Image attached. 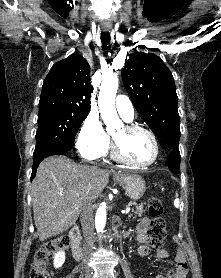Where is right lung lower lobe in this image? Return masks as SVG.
<instances>
[{"label": "right lung lower lobe", "instance_id": "right-lung-lower-lobe-1", "mask_svg": "<svg viewBox=\"0 0 221 278\" xmlns=\"http://www.w3.org/2000/svg\"><path fill=\"white\" fill-rule=\"evenodd\" d=\"M72 146L73 143L71 142H56L45 146L38 151H34L31 180L34 179L37 167L44 158L52 155L64 154L68 152Z\"/></svg>", "mask_w": 221, "mask_h": 278}]
</instances>
